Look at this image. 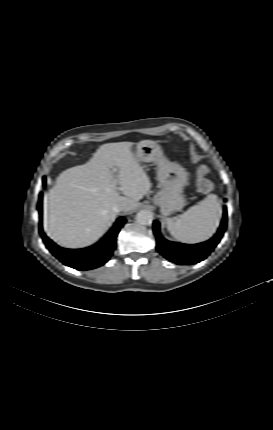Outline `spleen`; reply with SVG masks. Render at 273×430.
<instances>
[{
  "mask_svg": "<svg viewBox=\"0 0 273 430\" xmlns=\"http://www.w3.org/2000/svg\"><path fill=\"white\" fill-rule=\"evenodd\" d=\"M220 212L218 196L209 194L178 218H167L166 225L176 240L195 244L209 239L215 233L220 221Z\"/></svg>",
  "mask_w": 273,
  "mask_h": 430,
  "instance_id": "obj_1",
  "label": "spleen"
}]
</instances>
